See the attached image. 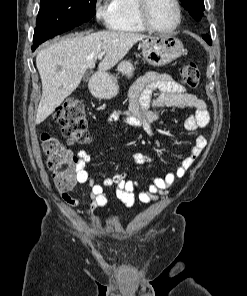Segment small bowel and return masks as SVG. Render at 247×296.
<instances>
[{"label":"small bowel","instance_id":"c3829d8e","mask_svg":"<svg viewBox=\"0 0 247 296\" xmlns=\"http://www.w3.org/2000/svg\"><path fill=\"white\" fill-rule=\"evenodd\" d=\"M165 107H187L194 110L184 120V127L189 132H196L209 124L208 107L202 99L188 92L180 82L171 76L155 72H148L137 79L130 90L129 109L123 113L109 115L108 121L120 122L131 128H142L149 135H153V126L161 118L162 109ZM207 144L205 136L197 135L190 154L181 161L180 165L164 177L153 178L145 189L140 188L138 181L127 179L126 174L106 177L102 183L95 182L86 170L91 157L86 151L80 150L77 153L79 167L76 180L80 184L89 186L91 204L88 213H93L107 205L106 188H114L117 198L128 208L135 205L136 198L144 204H150L156 201L159 195H168L170 187L185 176ZM132 158L137 165L148 164L152 161L149 154L140 151L134 152ZM61 197L69 205L75 206L79 203L78 197L67 192H63Z\"/></svg>","mask_w":247,"mask_h":296}]
</instances>
